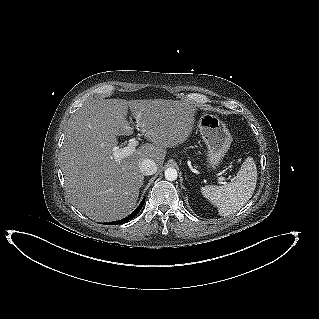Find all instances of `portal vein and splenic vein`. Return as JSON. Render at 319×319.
Segmentation results:
<instances>
[{
  "label": "portal vein and splenic vein",
  "mask_w": 319,
  "mask_h": 319,
  "mask_svg": "<svg viewBox=\"0 0 319 319\" xmlns=\"http://www.w3.org/2000/svg\"><path fill=\"white\" fill-rule=\"evenodd\" d=\"M140 115L138 116L137 120H139ZM138 145V141L136 139H132L129 141V143L127 144V146L123 147V148H117L114 150L113 152V157L116 161H120L121 159L128 157L130 155H132L135 151H136V146ZM230 181H234L233 178H228ZM219 181H226L225 177H218Z\"/></svg>",
  "instance_id": "1"
}]
</instances>
